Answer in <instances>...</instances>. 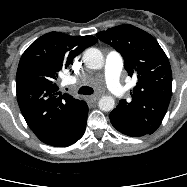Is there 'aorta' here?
I'll list each match as a JSON object with an SVG mask.
<instances>
[{
	"instance_id": "1",
	"label": "aorta",
	"mask_w": 187,
	"mask_h": 187,
	"mask_svg": "<svg viewBox=\"0 0 187 187\" xmlns=\"http://www.w3.org/2000/svg\"><path fill=\"white\" fill-rule=\"evenodd\" d=\"M83 61L86 67L98 70L104 65L103 55L97 48H88L83 54ZM98 106L102 111H112L115 107V100L112 96H102L98 101Z\"/></svg>"
}]
</instances>
